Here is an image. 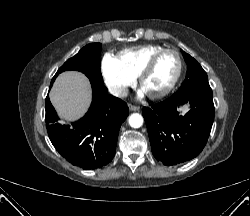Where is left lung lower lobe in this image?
I'll use <instances>...</instances> for the list:
<instances>
[{
  "label": "left lung lower lobe",
  "mask_w": 250,
  "mask_h": 216,
  "mask_svg": "<svg viewBox=\"0 0 250 216\" xmlns=\"http://www.w3.org/2000/svg\"><path fill=\"white\" fill-rule=\"evenodd\" d=\"M188 103L189 111L181 115L178 108ZM142 113L154 157L164 165H177L198 156L205 147L214 121L213 96L173 94L151 108L144 107Z\"/></svg>",
  "instance_id": "1"
}]
</instances>
